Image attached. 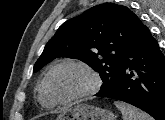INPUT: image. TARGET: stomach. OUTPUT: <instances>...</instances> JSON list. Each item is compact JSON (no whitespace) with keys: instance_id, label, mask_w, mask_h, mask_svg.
I'll use <instances>...</instances> for the list:
<instances>
[{"instance_id":"obj_1","label":"stomach","mask_w":165,"mask_h":120,"mask_svg":"<svg viewBox=\"0 0 165 120\" xmlns=\"http://www.w3.org/2000/svg\"><path fill=\"white\" fill-rule=\"evenodd\" d=\"M56 120H116V116L93 105L78 104L61 113Z\"/></svg>"}]
</instances>
